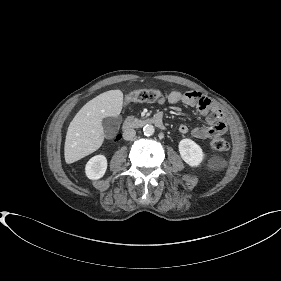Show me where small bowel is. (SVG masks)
<instances>
[{"instance_id": "small-bowel-1", "label": "small bowel", "mask_w": 281, "mask_h": 281, "mask_svg": "<svg viewBox=\"0 0 281 281\" xmlns=\"http://www.w3.org/2000/svg\"><path fill=\"white\" fill-rule=\"evenodd\" d=\"M181 103L188 107L197 108L207 118V124L190 129L181 124L178 131L181 134H190L197 139H208L226 134L227 125L222 111L218 105L200 92L195 91H171L159 100V103Z\"/></svg>"}]
</instances>
